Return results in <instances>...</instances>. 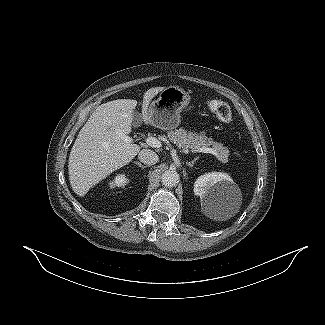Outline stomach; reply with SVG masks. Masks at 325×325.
Returning <instances> with one entry per match:
<instances>
[{
  "label": "stomach",
  "mask_w": 325,
  "mask_h": 325,
  "mask_svg": "<svg viewBox=\"0 0 325 325\" xmlns=\"http://www.w3.org/2000/svg\"><path fill=\"white\" fill-rule=\"evenodd\" d=\"M191 101L188 92L179 86H169L149 106L151 124L162 130H172L180 123V113ZM190 109V108H189Z\"/></svg>",
  "instance_id": "stomach-1"
}]
</instances>
